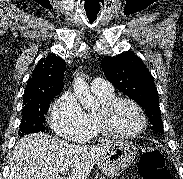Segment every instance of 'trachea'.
I'll return each mask as SVG.
<instances>
[{"label":"trachea","mask_w":183,"mask_h":179,"mask_svg":"<svg viewBox=\"0 0 183 179\" xmlns=\"http://www.w3.org/2000/svg\"><path fill=\"white\" fill-rule=\"evenodd\" d=\"M97 14H98V12L87 13L90 23L94 22V20L97 18Z\"/></svg>","instance_id":"3493384b"}]
</instances>
